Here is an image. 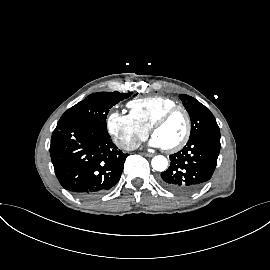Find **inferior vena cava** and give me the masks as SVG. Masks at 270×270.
<instances>
[{
    "label": "inferior vena cava",
    "instance_id": "602c4592",
    "mask_svg": "<svg viewBox=\"0 0 270 270\" xmlns=\"http://www.w3.org/2000/svg\"><path fill=\"white\" fill-rule=\"evenodd\" d=\"M119 147L126 151H131L135 150L138 147V145H136L135 143H120Z\"/></svg>",
    "mask_w": 270,
    "mask_h": 270
}]
</instances>
